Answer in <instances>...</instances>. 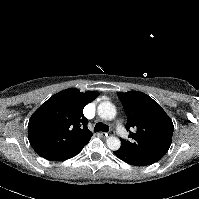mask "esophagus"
<instances>
[{
    "label": "esophagus",
    "mask_w": 199,
    "mask_h": 199,
    "mask_svg": "<svg viewBox=\"0 0 199 199\" xmlns=\"http://www.w3.org/2000/svg\"><path fill=\"white\" fill-rule=\"evenodd\" d=\"M102 136L104 137H109V136H112L114 135V131H110V132H102L101 133Z\"/></svg>",
    "instance_id": "obj_1"
}]
</instances>
